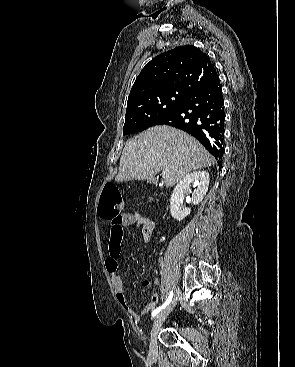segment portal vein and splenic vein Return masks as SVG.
Returning <instances> with one entry per match:
<instances>
[{"mask_svg": "<svg viewBox=\"0 0 295 367\" xmlns=\"http://www.w3.org/2000/svg\"><path fill=\"white\" fill-rule=\"evenodd\" d=\"M169 171L168 170H165L162 172V176L166 175Z\"/></svg>", "mask_w": 295, "mask_h": 367, "instance_id": "portal-vein-and-splenic-vein-1", "label": "portal vein and splenic vein"}]
</instances>
